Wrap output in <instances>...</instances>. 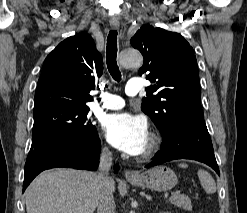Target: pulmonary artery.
<instances>
[{"label": "pulmonary artery", "instance_id": "pulmonary-artery-1", "mask_svg": "<svg viewBox=\"0 0 247 213\" xmlns=\"http://www.w3.org/2000/svg\"><path fill=\"white\" fill-rule=\"evenodd\" d=\"M141 91V79L135 77L129 80L126 85L125 92L128 96H135ZM125 101L122 97L104 93L102 94V101L98 104L100 108L117 110L123 108Z\"/></svg>", "mask_w": 247, "mask_h": 213}]
</instances>
